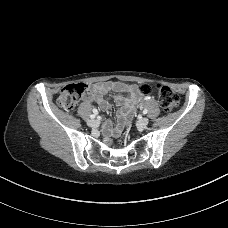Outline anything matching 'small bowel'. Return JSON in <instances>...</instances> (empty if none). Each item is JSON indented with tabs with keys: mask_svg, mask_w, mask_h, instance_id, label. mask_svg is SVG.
Segmentation results:
<instances>
[{
	"mask_svg": "<svg viewBox=\"0 0 228 228\" xmlns=\"http://www.w3.org/2000/svg\"><path fill=\"white\" fill-rule=\"evenodd\" d=\"M114 92V102L120 107L118 111V123L113 129L109 122L104 125V133L118 135L123 130L128 117L133 113L138 101L142 98L139 87L135 84H126L117 81L97 82L91 86V91L87 93L83 100L86 103L95 102L99 107L106 111L110 108L108 95ZM122 93H126L123 95ZM150 96L144 97L145 101L150 100Z\"/></svg>",
	"mask_w": 228,
	"mask_h": 228,
	"instance_id": "small-bowel-1",
	"label": "small bowel"
}]
</instances>
